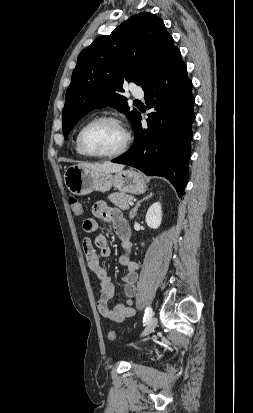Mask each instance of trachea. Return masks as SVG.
<instances>
[{
	"instance_id": "3493384b",
	"label": "trachea",
	"mask_w": 253,
	"mask_h": 413,
	"mask_svg": "<svg viewBox=\"0 0 253 413\" xmlns=\"http://www.w3.org/2000/svg\"><path fill=\"white\" fill-rule=\"evenodd\" d=\"M140 101L139 100H134V103H139Z\"/></svg>"
}]
</instances>
